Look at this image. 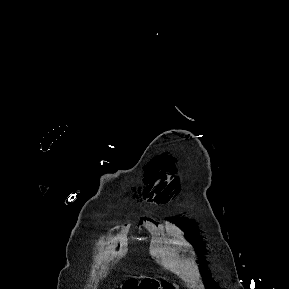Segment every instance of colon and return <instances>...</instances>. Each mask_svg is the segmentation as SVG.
I'll return each instance as SVG.
<instances>
[{"label": "colon", "mask_w": 289, "mask_h": 289, "mask_svg": "<svg viewBox=\"0 0 289 289\" xmlns=\"http://www.w3.org/2000/svg\"><path fill=\"white\" fill-rule=\"evenodd\" d=\"M122 289H174L173 285L168 281L158 283L151 279H144L141 281L130 279L126 281Z\"/></svg>", "instance_id": "1"}]
</instances>
